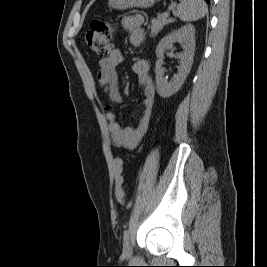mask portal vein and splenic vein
<instances>
[{"label":"portal vein and splenic vein","instance_id":"18ae733b","mask_svg":"<svg viewBox=\"0 0 267 267\" xmlns=\"http://www.w3.org/2000/svg\"><path fill=\"white\" fill-rule=\"evenodd\" d=\"M170 9H171V8H169V10H170ZM169 10L163 13V16H164V17H169Z\"/></svg>","mask_w":267,"mask_h":267}]
</instances>
